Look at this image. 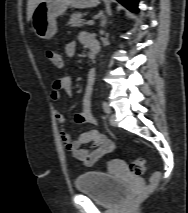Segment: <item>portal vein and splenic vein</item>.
Returning a JSON list of instances; mask_svg holds the SVG:
<instances>
[{
	"label": "portal vein and splenic vein",
	"mask_w": 188,
	"mask_h": 213,
	"mask_svg": "<svg viewBox=\"0 0 188 213\" xmlns=\"http://www.w3.org/2000/svg\"><path fill=\"white\" fill-rule=\"evenodd\" d=\"M86 24L89 25V26H91V25L94 24V21H93V20H88V21L86 22Z\"/></svg>",
	"instance_id": "obj_1"
}]
</instances>
